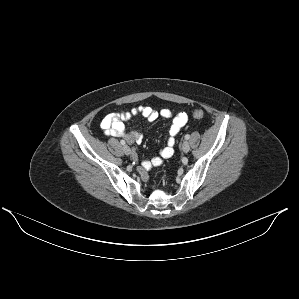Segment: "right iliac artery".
Wrapping results in <instances>:
<instances>
[{"label":"right iliac artery","instance_id":"82829eb1","mask_svg":"<svg viewBox=\"0 0 299 299\" xmlns=\"http://www.w3.org/2000/svg\"><path fill=\"white\" fill-rule=\"evenodd\" d=\"M120 143H121V145H123V146L126 144V142H125L124 140H121Z\"/></svg>","mask_w":299,"mask_h":299}]
</instances>
